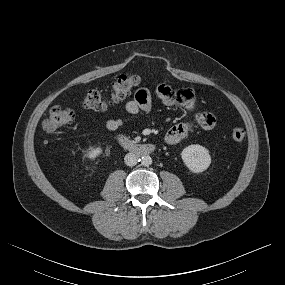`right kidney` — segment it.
<instances>
[{
	"label": "right kidney",
	"instance_id": "obj_1",
	"mask_svg": "<svg viewBox=\"0 0 285 285\" xmlns=\"http://www.w3.org/2000/svg\"><path fill=\"white\" fill-rule=\"evenodd\" d=\"M102 153V149L100 147L90 148V150L87 152V157L91 160H94Z\"/></svg>",
	"mask_w": 285,
	"mask_h": 285
}]
</instances>
